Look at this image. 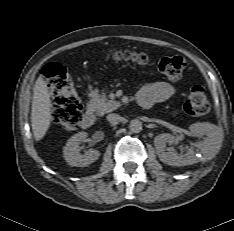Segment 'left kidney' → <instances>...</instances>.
Masks as SVG:
<instances>
[{"label": "left kidney", "instance_id": "1", "mask_svg": "<svg viewBox=\"0 0 234 231\" xmlns=\"http://www.w3.org/2000/svg\"><path fill=\"white\" fill-rule=\"evenodd\" d=\"M189 131L192 135H206V137L194 147L188 148L184 154H178L174 148L166 147L167 143L169 145L175 143L173 135L163 133L154 138L157 155L163 163L171 166L192 165L203 158H211L219 152L223 142V131L221 128L211 123L198 122L190 125Z\"/></svg>", "mask_w": 234, "mask_h": 231}]
</instances>
